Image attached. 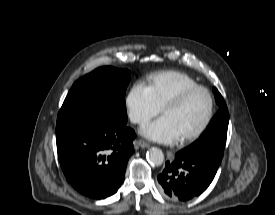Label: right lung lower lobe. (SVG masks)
I'll use <instances>...</instances> for the list:
<instances>
[{"label": "right lung lower lobe", "mask_w": 275, "mask_h": 215, "mask_svg": "<svg viewBox=\"0 0 275 215\" xmlns=\"http://www.w3.org/2000/svg\"><path fill=\"white\" fill-rule=\"evenodd\" d=\"M135 132L112 118L56 126L60 166L79 193L104 199L124 181Z\"/></svg>", "instance_id": "obj_1"}]
</instances>
